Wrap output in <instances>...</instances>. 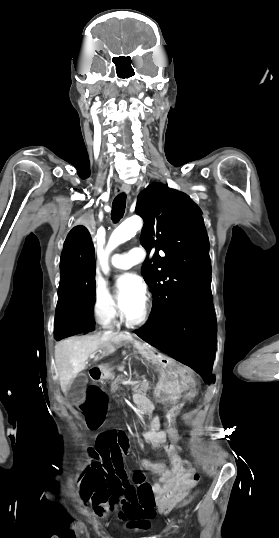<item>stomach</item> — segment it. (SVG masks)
<instances>
[{"instance_id": "obj_1", "label": "stomach", "mask_w": 279, "mask_h": 538, "mask_svg": "<svg viewBox=\"0 0 279 538\" xmlns=\"http://www.w3.org/2000/svg\"><path fill=\"white\" fill-rule=\"evenodd\" d=\"M150 362L157 368L158 364H162V373L159 375L153 389L155 399L162 401L163 407H170L173 401L176 402V405H182V402H178L177 398L182 399L185 397L188 400L193 398L196 390L192 386V381L188 379L190 369L186 367L185 363H176V360L169 358L167 353H151Z\"/></svg>"}]
</instances>
